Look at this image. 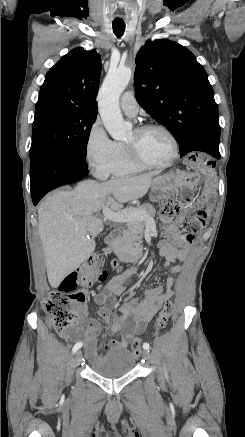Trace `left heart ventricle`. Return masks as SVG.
<instances>
[{
	"label": "left heart ventricle",
	"instance_id": "1",
	"mask_svg": "<svg viewBox=\"0 0 245 437\" xmlns=\"http://www.w3.org/2000/svg\"><path fill=\"white\" fill-rule=\"evenodd\" d=\"M125 143L132 144L144 160L152 163L168 161L173 152L169 138L160 130H148L140 134L132 130Z\"/></svg>",
	"mask_w": 245,
	"mask_h": 437
}]
</instances>
